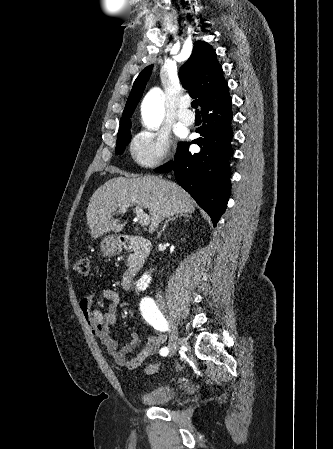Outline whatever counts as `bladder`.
<instances>
[{"mask_svg":"<svg viewBox=\"0 0 333 449\" xmlns=\"http://www.w3.org/2000/svg\"><path fill=\"white\" fill-rule=\"evenodd\" d=\"M178 390L171 384H161L140 394V401L151 406L171 403L176 399Z\"/></svg>","mask_w":333,"mask_h":449,"instance_id":"31cf9c89","label":"bladder"}]
</instances>
